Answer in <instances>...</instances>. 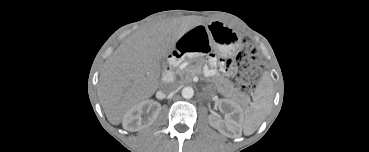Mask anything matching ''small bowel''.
I'll return each instance as SVG.
<instances>
[{"mask_svg":"<svg viewBox=\"0 0 369 152\" xmlns=\"http://www.w3.org/2000/svg\"><path fill=\"white\" fill-rule=\"evenodd\" d=\"M207 73L211 75V74H213V71H212L211 69H209V70L207 71Z\"/></svg>","mask_w":369,"mask_h":152,"instance_id":"c3829d8e","label":"small bowel"}]
</instances>
